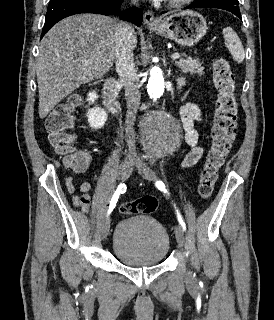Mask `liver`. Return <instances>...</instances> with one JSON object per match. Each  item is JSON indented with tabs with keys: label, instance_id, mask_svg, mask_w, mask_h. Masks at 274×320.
I'll list each match as a JSON object with an SVG mask.
<instances>
[{
	"label": "liver",
	"instance_id": "obj_1",
	"mask_svg": "<svg viewBox=\"0 0 274 320\" xmlns=\"http://www.w3.org/2000/svg\"><path fill=\"white\" fill-rule=\"evenodd\" d=\"M118 22L110 16L76 14L58 22L42 38L36 70L41 120L82 84L109 72L115 62Z\"/></svg>",
	"mask_w": 274,
	"mask_h": 320
}]
</instances>
